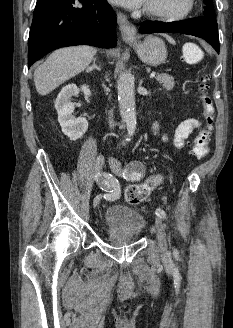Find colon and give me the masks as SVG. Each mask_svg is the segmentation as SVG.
Here are the masks:
<instances>
[{
	"mask_svg": "<svg viewBox=\"0 0 233 328\" xmlns=\"http://www.w3.org/2000/svg\"><path fill=\"white\" fill-rule=\"evenodd\" d=\"M184 56L187 61H197L202 59L204 51L197 45H189L184 50ZM209 87V75L203 74L199 79V93L203 106V117L205 125L190 143V154L201 159L209 152V139L214 120V108L211 98L207 94ZM159 177H151L142 183L129 186L125 191V199L131 205H137L143 202L150 193L158 186Z\"/></svg>",
	"mask_w": 233,
	"mask_h": 328,
	"instance_id": "1",
	"label": "colon"
}]
</instances>
